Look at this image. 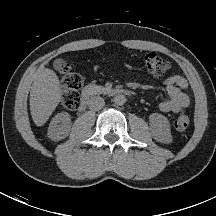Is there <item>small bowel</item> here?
<instances>
[{
  "label": "small bowel",
  "mask_w": 216,
  "mask_h": 216,
  "mask_svg": "<svg viewBox=\"0 0 216 216\" xmlns=\"http://www.w3.org/2000/svg\"><path fill=\"white\" fill-rule=\"evenodd\" d=\"M163 86L167 92L168 99L159 104L162 112L177 113L190 104L189 96L185 90L188 87L187 80L180 74H174L163 80Z\"/></svg>",
  "instance_id": "1"
}]
</instances>
